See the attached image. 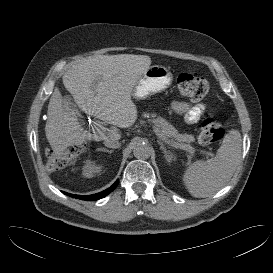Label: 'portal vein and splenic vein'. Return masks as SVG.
Segmentation results:
<instances>
[{
	"label": "portal vein and splenic vein",
	"instance_id": "obj_1",
	"mask_svg": "<svg viewBox=\"0 0 273 273\" xmlns=\"http://www.w3.org/2000/svg\"><path fill=\"white\" fill-rule=\"evenodd\" d=\"M104 127L101 126L100 124H96L94 126V130L97 131L98 133H101L104 131ZM154 132L155 134L158 136V138H160L163 142L175 147V148H180L182 150H186L189 153L193 154L195 152V149L191 146H187V148H185L184 146H180L178 144L173 143L172 141H170L169 139H167L158 129L154 128Z\"/></svg>",
	"mask_w": 273,
	"mask_h": 273
}]
</instances>
